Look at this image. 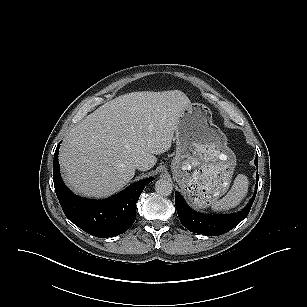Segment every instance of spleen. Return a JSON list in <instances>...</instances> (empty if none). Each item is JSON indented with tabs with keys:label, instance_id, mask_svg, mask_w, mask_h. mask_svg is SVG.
I'll return each mask as SVG.
<instances>
[{
	"label": "spleen",
	"instance_id": "obj_1",
	"mask_svg": "<svg viewBox=\"0 0 307 307\" xmlns=\"http://www.w3.org/2000/svg\"><path fill=\"white\" fill-rule=\"evenodd\" d=\"M249 180L243 174L237 175L229 192L220 200L212 202L211 208L214 211L229 210L234 208L247 195Z\"/></svg>",
	"mask_w": 307,
	"mask_h": 307
}]
</instances>
